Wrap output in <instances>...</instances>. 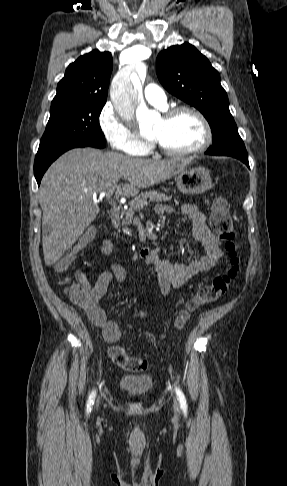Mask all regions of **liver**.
Instances as JSON below:
<instances>
[{"instance_id": "6515ba94", "label": "liver", "mask_w": 287, "mask_h": 486, "mask_svg": "<svg viewBox=\"0 0 287 486\" xmlns=\"http://www.w3.org/2000/svg\"><path fill=\"white\" fill-rule=\"evenodd\" d=\"M190 160H147L92 148L64 153L48 168L39 190L45 264H55L94 221L97 193L116 186V195L135 196L139 189L175 176ZM122 177L129 183L121 188L117 183Z\"/></svg>"}]
</instances>
